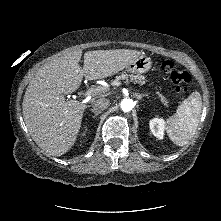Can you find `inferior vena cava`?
<instances>
[{"instance_id": "obj_1", "label": "inferior vena cava", "mask_w": 221, "mask_h": 221, "mask_svg": "<svg viewBox=\"0 0 221 221\" xmlns=\"http://www.w3.org/2000/svg\"><path fill=\"white\" fill-rule=\"evenodd\" d=\"M110 105V102L107 98H100L93 102V110L101 112L102 110H105Z\"/></svg>"}]
</instances>
